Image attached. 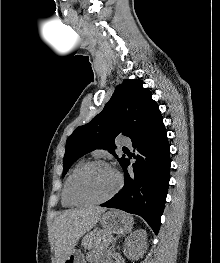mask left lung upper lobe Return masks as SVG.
Here are the masks:
<instances>
[{"label": "left lung upper lobe", "instance_id": "left-lung-upper-lobe-1", "mask_svg": "<svg viewBox=\"0 0 220 263\" xmlns=\"http://www.w3.org/2000/svg\"><path fill=\"white\" fill-rule=\"evenodd\" d=\"M161 117L150 90L143 88L139 80L125 79L104 109L89 123L76 128L67 139L63 174L77 159L95 149L108 150L122 165L126 158L115 154V138L125 135L134 141Z\"/></svg>", "mask_w": 220, "mask_h": 263}]
</instances>
